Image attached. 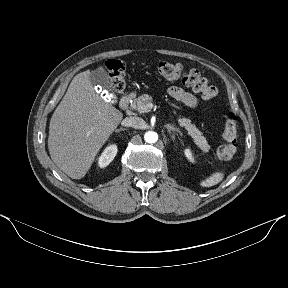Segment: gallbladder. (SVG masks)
Returning <instances> with one entry per match:
<instances>
[{
    "label": "gallbladder",
    "instance_id": "bac80fb5",
    "mask_svg": "<svg viewBox=\"0 0 288 288\" xmlns=\"http://www.w3.org/2000/svg\"><path fill=\"white\" fill-rule=\"evenodd\" d=\"M89 79L93 85H101L103 89L111 91L109 75L103 66L91 71Z\"/></svg>",
    "mask_w": 288,
    "mask_h": 288
}]
</instances>
